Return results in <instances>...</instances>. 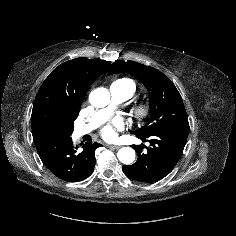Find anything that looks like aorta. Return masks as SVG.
<instances>
[{"instance_id":"1","label":"aorta","mask_w":236,"mask_h":236,"mask_svg":"<svg viewBox=\"0 0 236 236\" xmlns=\"http://www.w3.org/2000/svg\"><path fill=\"white\" fill-rule=\"evenodd\" d=\"M109 101L110 93L106 88H97L89 95V102L97 108L107 106ZM117 156L123 164H130L135 160V151L131 147H122L118 150Z\"/></svg>"}]
</instances>
